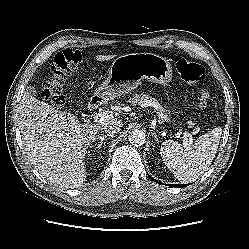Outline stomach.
Segmentation results:
<instances>
[{"label": "stomach", "instance_id": "obj_1", "mask_svg": "<svg viewBox=\"0 0 249 249\" xmlns=\"http://www.w3.org/2000/svg\"><path fill=\"white\" fill-rule=\"evenodd\" d=\"M168 85L172 79V67L167 58L152 53H132L116 58L107 79L95 90L101 99H110L137 88L141 81Z\"/></svg>", "mask_w": 249, "mask_h": 249}]
</instances>
